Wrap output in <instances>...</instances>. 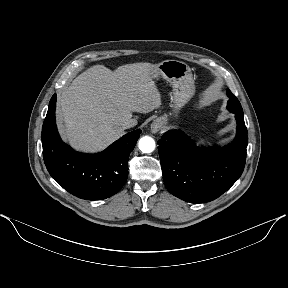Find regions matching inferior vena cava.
I'll return each mask as SVG.
<instances>
[{
    "label": "inferior vena cava",
    "instance_id": "inferior-vena-cava-1",
    "mask_svg": "<svg viewBox=\"0 0 288 288\" xmlns=\"http://www.w3.org/2000/svg\"><path fill=\"white\" fill-rule=\"evenodd\" d=\"M137 125V120L136 119H127L124 123H123V128L124 129H128L131 127H134Z\"/></svg>",
    "mask_w": 288,
    "mask_h": 288
}]
</instances>
